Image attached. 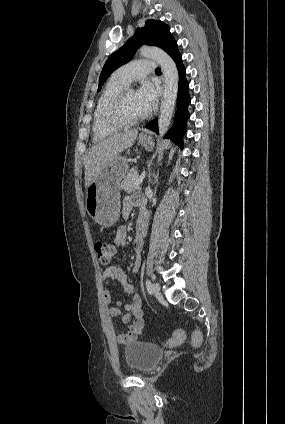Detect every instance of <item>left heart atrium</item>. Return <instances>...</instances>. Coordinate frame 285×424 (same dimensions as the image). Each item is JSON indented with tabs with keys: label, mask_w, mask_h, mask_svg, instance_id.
<instances>
[{
	"label": "left heart atrium",
	"mask_w": 285,
	"mask_h": 424,
	"mask_svg": "<svg viewBox=\"0 0 285 424\" xmlns=\"http://www.w3.org/2000/svg\"><path fill=\"white\" fill-rule=\"evenodd\" d=\"M136 99L143 113L148 114L156 108L158 91L150 82L146 81L136 92Z\"/></svg>",
	"instance_id": "obj_1"
}]
</instances>
